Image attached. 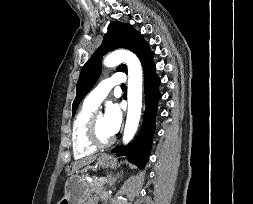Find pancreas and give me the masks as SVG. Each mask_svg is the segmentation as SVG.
I'll use <instances>...</instances> for the list:
<instances>
[{"label":"pancreas","mask_w":253,"mask_h":204,"mask_svg":"<svg viewBox=\"0 0 253 204\" xmlns=\"http://www.w3.org/2000/svg\"><path fill=\"white\" fill-rule=\"evenodd\" d=\"M103 184L104 183L97 181V178H93L92 182H88L90 192L99 194L103 189Z\"/></svg>","instance_id":"pancreas-1"}]
</instances>
